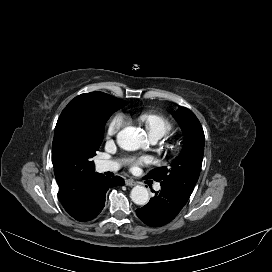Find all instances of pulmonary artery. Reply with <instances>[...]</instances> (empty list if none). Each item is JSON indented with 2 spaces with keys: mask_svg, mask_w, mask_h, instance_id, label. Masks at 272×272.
Returning <instances> with one entry per match:
<instances>
[{
  "mask_svg": "<svg viewBox=\"0 0 272 272\" xmlns=\"http://www.w3.org/2000/svg\"><path fill=\"white\" fill-rule=\"evenodd\" d=\"M151 138V142L152 143H156L161 137L159 136H152ZM120 167V163L118 161L115 160H101L98 162V169L101 172H105V171H116L118 168ZM160 185L156 184L155 185V190H160Z\"/></svg>",
  "mask_w": 272,
  "mask_h": 272,
  "instance_id": "e3ab8cb5",
  "label": "pulmonary artery"
}]
</instances>
